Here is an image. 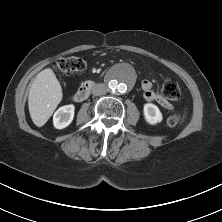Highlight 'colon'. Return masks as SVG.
<instances>
[{"label":"colon","mask_w":222,"mask_h":222,"mask_svg":"<svg viewBox=\"0 0 222 222\" xmlns=\"http://www.w3.org/2000/svg\"><path fill=\"white\" fill-rule=\"evenodd\" d=\"M55 68L63 74H80L87 66V62L84 58L80 57H66L58 59L54 63ZM162 94L164 98L170 101H178L181 98V91L178 83L171 78H167L162 86ZM180 114L174 113L170 115L166 120L168 127H175L180 122Z\"/></svg>","instance_id":"colon-1"}]
</instances>
